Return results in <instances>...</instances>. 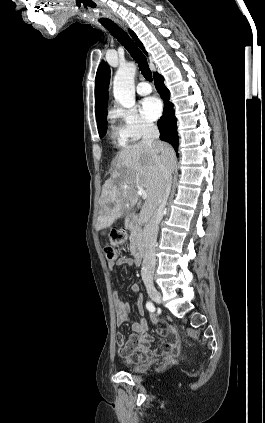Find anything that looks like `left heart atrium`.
Returning a JSON list of instances; mask_svg holds the SVG:
<instances>
[{
  "instance_id": "obj_1",
  "label": "left heart atrium",
  "mask_w": 265,
  "mask_h": 423,
  "mask_svg": "<svg viewBox=\"0 0 265 423\" xmlns=\"http://www.w3.org/2000/svg\"><path fill=\"white\" fill-rule=\"evenodd\" d=\"M141 111L148 119L156 120L162 113V103L157 97H147L141 102Z\"/></svg>"
}]
</instances>
